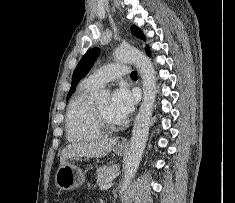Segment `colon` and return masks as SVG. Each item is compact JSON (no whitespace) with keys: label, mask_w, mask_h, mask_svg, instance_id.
Here are the masks:
<instances>
[{"label":"colon","mask_w":235,"mask_h":203,"mask_svg":"<svg viewBox=\"0 0 235 203\" xmlns=\"http://www.w3.org/2000/svg\"><path fill=\"white\" fill-rule=\"evenodd\" d=\"M60 203H74L72 200H65V201H62Z\"/></svg>","instance_id":"5ec220e1"}]
</instances>
